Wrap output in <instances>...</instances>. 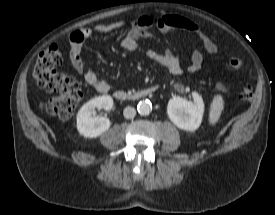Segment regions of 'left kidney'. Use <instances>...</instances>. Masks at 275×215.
I'll return each instance as SVG.
<instances>
[{"label": "left kidney", "instance_id": "obj_1", "mask_svg": "<svg viewBox=\"0 0 275 215\" xmlns=\"http://www.w3.org/2000/svg\"><path fill=\"white\" fill-rule=\"evenodd\" d=\"M193 102L175 96L168 102L167 113L170 120L180 129L195 131L201 124L204 102L197 93H192Z\"/></svg>", "mask_w": 275, "mask_h": 215}]
</instances>
